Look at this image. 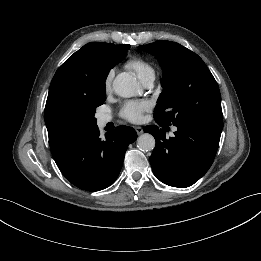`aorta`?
Masks as SVG:
<instances>
[{
    "mask_svg": "<svg viewBox=\"0 0 261 261\" xmlns=\"http://www.w3.org/2000/svg\"><path fill=\"white\" fill-rule=\"evenodd\" d=\"M114 92L124 98H130L142 94V88L136 77L127 72L118 74L113 81ZM137 147L141 151H151L155 147V139L149 133L140 135L137 139Z\"/></svg>",
    "mask_w": 261,
    "mask_h": 261,
    "instance_id": "762f6f07",
    "label": "aorta"
}]
</instances>
